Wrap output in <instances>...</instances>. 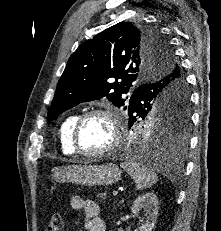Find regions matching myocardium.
<instances>
[{
  "label": "myocardium",
  "instance_id": "1",
  "mask_svg": "<svg viewBox=\"0 0 221 231\" xmlns=\"http://www.w3.org/2000/svg\"><path fill=\"white\" fill-rule=\"evenodd\" d=\"M95 115H103L109 120L110 125L112 127V140L110 144L104 149L95 151V152H88V151L82 150L79 145V141H78L79 132L85 120ZM121 139H122V129H121L120 118L117 112L113 108H110V107H96V108L89 109L85 111L84 113H82L76 119L73 125L72 134H71V144H72L74 151L77 154H80L82 156L89 157V158L102 157V156H105L113 152L120 145Z\"/></svg>",
  "mask_w": 221,
  "mask_h": 231
}]
</instances>
